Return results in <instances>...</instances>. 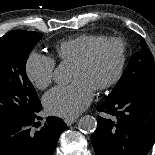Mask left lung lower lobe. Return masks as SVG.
Instances as JSON below:
<instances>
[{
	"label": "left lung lower lobe",
	"instance_id": "left-lung-lower-lobe-1",
	"mask_svg": "<svg viewBox=\"0 0 155 155\" xmlns=\"http://www.w3.org/2000/svg\"><path fill=\"white\" fill-rule=\"evenodd\" d=\"M116 116L99 117L92 135L96 155H146L155 142V81L109 96L97 109Z\"/></svg>",
	"mask_w": 155,
	"mask_h": 155
}]
</instances>
